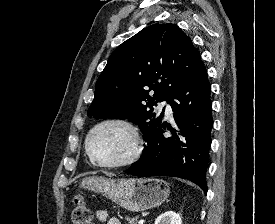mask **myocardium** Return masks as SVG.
Segmentation results:
<instances>
[{"label": "myocardium", "mask_w": 275, "mask_h": 224, "mask_svg": "<svg viewBox=\"0 0 275 224\" xmlns=\"http://www.w3.org/2000/svg\"><path fill=\"white\" fill-rule=\"evenodd\" d=\"M109 124H118V125L125 127L131 134V137L133 140V150H132L131 154L124 160L115 162V163H104V162L99 161L94 156V154L92 153L91 148H90V140H91L92 135L99 128H101L105 125H109ZM142 149H143V141H142V138L139 134L137 127L129 120L120 118V117H109V118H106V119H103V120L97 122L89 130V132L87 133V136L85 138V150H86V153H87L89 159L91 160V162L94 165L101 167V168L114 169V168H122V167L129 166L138 160V158L140 157V155L142 153Z\"/></svg>", "instance_id": "obj_1"}]
</instances>
